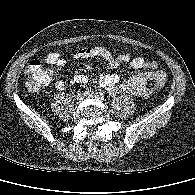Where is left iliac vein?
<instances>
[{"label":"left iliac vein","instance_id":"4c4485c4","mask_svg":"<svg viewBox=\"0 0 195 195\" xmlns=\"http://www.w3.org/2000/svg\"><path fill=\"white\" fill-rule=\"evenodd\" d=\"M88 98H96V99H101V96L95 92H90L86 95Z\"/></svg>","mask_w":195,"mask_h":195}]
</instances>
